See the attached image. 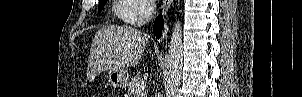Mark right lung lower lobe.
Instances as JSON below:
<instances>
[{
    "mask_svg": "<svg viewBox=\"0 0 302 97\" xmlns=\"http://www.w3.org/2000/svg\"><path fill=\"white\" fill-rule=\"evenodd\" d=\"M163 24H164V20H163L162 15L160 14L156 18L155 23H154V27H153L154 34L156 35L157 38H159L161 36L162 29H163Z\"/></svg>",
    "mask_w": 302,
    "mask_h": 97,
    "instance_id": "right-lung-lower-lobe-1",
    "label": "right lung lower lobe"
}]
</instances>
